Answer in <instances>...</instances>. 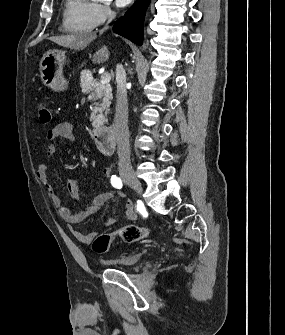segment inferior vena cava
Instances as JSON below:
<instances>
[{
    "label": "inferior vena cava",
    "mask_w": 285,
    "mask_h": 335,
    "mask_svg": "<svg viewBox=\"0 0 285 335\" xmlns=\"http://www.w3.org/2000/svg\"><path fill=\"white\" fill-rule=\"evenodd\" d=\"M116 14L107 6V24L114 20ZM105 26L101 32L108 30L109 26ZM117 94H116V114L115 134L117 140V148L119 158L124 162H130V144H129V128H128V100L126 90V74L122 66H117L116 70Z\"/></svg>",
    "instance_id": "602c4592"
}]
</instances>
